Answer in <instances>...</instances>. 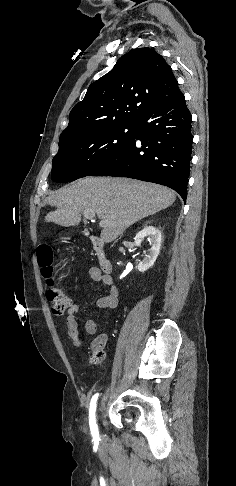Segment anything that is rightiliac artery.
Segmentation results:
<instances>
[{
  "label": "right iliac artery",
  "mask_w": 236,
  "mask_h": 486,
  "mask_svg": "<svg viewBox=\"0 0 236 486\" xmlns=\"http://www.w3.org/2000/svg\"><path fill=\"white\" fill-rule=\"evenodd\" d=\"M99 394H95L92 397L91 403H90V409H89V425H90V430L91 434L93 437L94 442H98L100 440L99 438V432H98V427L96 424V402L98 399Z\"/></svg>",
  "instance_id": "right-iliac-artery-1"
}]
</instances>
